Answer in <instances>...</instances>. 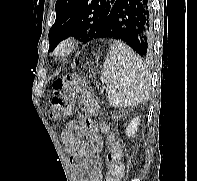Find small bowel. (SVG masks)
Masks as SVG:
<instances>
[{
    "mask_svg": "<svg viewBox=\"0 0 197 181\" xmlns=\"http://www.w3.org/2000/svg\"><path fill=\"white\" fill-rule=\"evenodd\" d=\"M62 141L75 167L76 180L102 181L103 139L97 124L90 120L72 121L62 132Z\"/></svg>",
    "mask_w": 197,
    "mask_h": 181,
    "instance_id": "obj_1",
    "label": "small bowel"
}]
</instances>
